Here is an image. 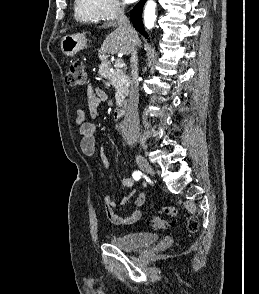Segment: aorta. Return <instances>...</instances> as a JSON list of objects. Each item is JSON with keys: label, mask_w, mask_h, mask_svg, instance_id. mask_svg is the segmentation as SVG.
I'll list each match as a JSON object with an SVG mask.
<instances>
[{"label": "aorta", "mask_w": 259, "mask_h": 294, "mask_svg": "<svg viewBox=\"0 0 259 294\" xmlns=\"http://www.w3.org/2000/svg\"><path fill=\"white\" fill-rule=\"evenodd\" d=\"M156 21V3L148 0L144 10V25L147 29H152Z\"/></svg>", "instance_id": "1"}]
</instances>
